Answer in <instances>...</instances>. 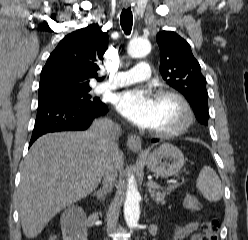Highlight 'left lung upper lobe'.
<instances>
[{"instance_id":"5c2ea615","label":"left lung upper lobe","mask_w":248,"mask_h":240,"mask_svg":"<svg viewBox=\"0 0 248 240\" xmlns=\"http://www.w3.org/2000/svg\"><path fill=\"white\" fill-rule=\"evenodd\" d=\"M156 41L160 48L159 70L163 79L186 97L196 119L207 125L209 113L206 79L192 54L190 45L172 31L159 32Z\"/></svg>"}]
</instances>
